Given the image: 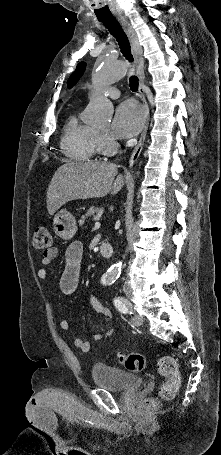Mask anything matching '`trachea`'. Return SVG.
Listing matches in <instances>:
<instances>
[{
  "label": "trachea",
  "instance_id": "3493384b",
  "mask_svg": "<svg viewBox=\"0 0 221 455\" xmlns=\"http://www.w3.org/2000/svg\"><path fill=\"white\" fill-rule=\"evenodd\" d=\"M102 23L105 24L106 28L110 33L116 38L123 56L129 61L133 62V57L130 51V44L128 38L118 22L113 18L100 19ZM130 89L133 92L138 90V78L136 76H131L130 79Z\"/></svg>",
  "mask_w": 221,
  "mask_h": 455
}]
</instances>
